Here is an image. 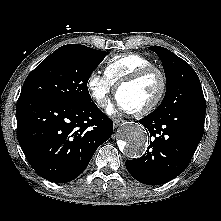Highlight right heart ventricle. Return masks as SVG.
<instances>
[{
    "label": "right heart ventricle",
    "mask_w": 221,
    "mask_h": 221,
    "mask_svg": "<svg viewBox=\"0 0 221 221\" xmlns=\"http://www.w3.org/2000/svg\"><path fill=\"white\" fill-rule=\"evenodd\" d=\"M154 66L152 60L139 53H124L112 56L105 65L104 74L112 83H117L133 72L144 68Z\"/></svg>",
    "instance_id": "1"
}]
</instances>
